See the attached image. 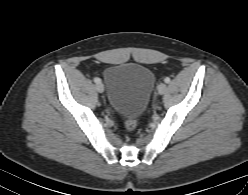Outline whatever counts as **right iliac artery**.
<instances>
[{
    "label": "right iliac artery",
    "instance_id": "right-iliac-artery-1",
    "mask_svg": "<svg viewBox=\"0 0 248 195\" xmlns=\"http://www.w3.org/2000/svg\"><path fill=\"white\" fill-rule=\"evenodd\" d=\"M94 82L95 83H101V79L96 77V78H94Z\"/></svg>",
    "mask_w": 248,
    "mask_h": 195
}]
</instances>
